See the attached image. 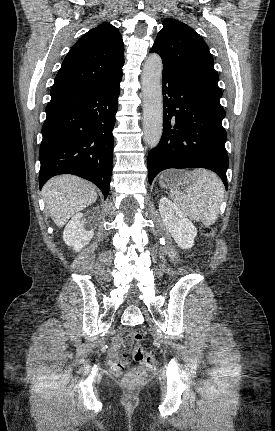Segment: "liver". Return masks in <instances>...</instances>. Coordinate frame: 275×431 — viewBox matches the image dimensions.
I'll use <instances>...</instances> for the list:
<instances>
[{"mask_svg": "<svg viewBox=\"0 0 275 431\" xmlns=\"http://www.w3.org/2000/svg\"><path fill=\"white\" fill-rule=\"evenodd\" d=\"M42 195L52 220L60 228L97 199V191L91 183L72 175L50 179L44 185Z\"/></svg>", "mask_w": 275, "mask_h": 431, "instance_id": "obj_1", "label": "liver"}]
</instances>
